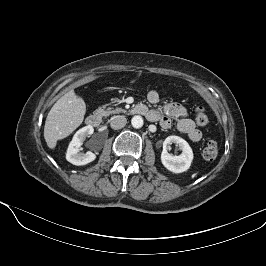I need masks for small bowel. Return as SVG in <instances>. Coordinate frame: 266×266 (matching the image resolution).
Masks as SVG:
<instances>
[{
  "mask_svg": "<svg viewBox=\"0 0 266 266\" xmlns=\"http://www.w3.org/2000/svg\"><path fill=\"white\" fill-rule=\"evenodd\" d=\"M147 99L150 103L155 104L160 100V95L157 91L152 90L148 93ZM146 109L145 116L148 120L159 122L162 127L169 128L171 126V118L176 120L177 128L180 132L186 134L190 140L198 142L202 138V133L198 130L194 122L188 117L186 108L179 103H168L161 109Z\"/></svg>",
  "mask_w": 266,
  "mask_h": 266,
  "instance_id": "c3829d8e",
  "label": "small bowel"
}]
</instances>
